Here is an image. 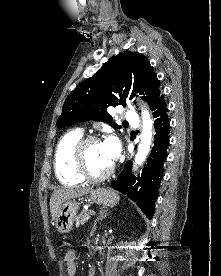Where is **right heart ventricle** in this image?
I'll use <instances>...</instances> for the list:
<instances>
[{"label":"right heart ventricle","mask_w":221,"mask_h":276,"mask_svg":"<svg viewBox=\"0 0 221 276\" xmlns=\"http://www.w3.org/2000/svg\"><path fill=\"white\" fill-rule=\"evenodd\" d=\"M82 137L81 130H71L65 133L57 144L54 158L55 171L59 180L66 185H78L84 181L74 165V148Z\"/></svg>","instance_id":"1"}]
</instances>
